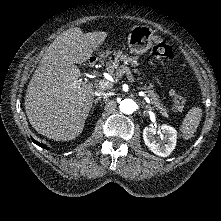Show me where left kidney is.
<instances>
[{
  "instance_id": "5707ae66",
  "label": "left kidney",
  "mask_w": 221,
  "mask_h": 221,
  "mask_svg": "<svg viewBox=\"0 0 221 221\" xmlns=\"http://www.w3.org/2000/svg\"><path fill=\"white\" fill-rule=\"evenodd\" d=\"M160 135L161 142H159L155 134ZM143 139L145 145L156 155L167 157L175 149L177 140V131L175 128L162 125L158 128L153 126L145 127L143 130Z\"/></svg>"
}]
</instances>
